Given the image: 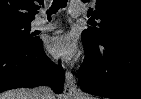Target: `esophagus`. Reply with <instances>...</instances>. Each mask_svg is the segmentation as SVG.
<instances>
[{
    "label": "esophagus",
    "instance_id": "esophagus-1",
    "mask_svg": "<svg viewBox=\"0 0 141 99\" xmlns=\"http://www.w3.org/2000/svg\"><path fill=\"white\" fill-rule=\"evenodd\" d=\"M77 94L78 90L75 77L71 71L67 70L65 73L64 97L71 98Z\"/></svg>",
    "mask_w": 141,
    "mask_h": 99
}]
</instances>
